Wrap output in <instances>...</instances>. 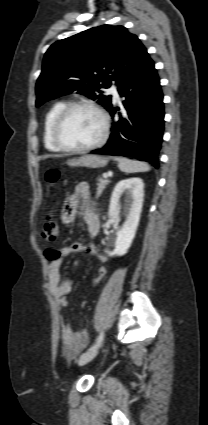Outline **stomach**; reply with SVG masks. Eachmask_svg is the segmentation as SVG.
<instances>
[{"instance_id":"0dacf381","label":"stomach","mask_w":208,"mask_h":425,"mask_svg":"<svg viewBox=\"0 0 208 425\" xmlns=\"http://www.w3.org/2000/svg\"><path fill=\"white\" fill-rule=\"evenodd\" d=\"M108 158L98 155H83L79 158L70 159L67 164L72 167H87V168H101L106 166Z\"/></svg>"}]
</instances>
